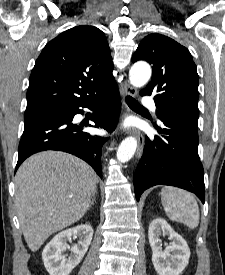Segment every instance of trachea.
I'll return each instance as SVG.
<instances>
[{"label":"trachea","instance_id":"1","mask_svg":"<svg viewBox=\"0 0 225 275\" xmlns=\"http://www.w3.org/2000/svg\"><path fill=\"white\" fill-rule=\"evenodd\" d=\"M126 102L130 108L145 110L134 98L131 96L126 97Z\"/></svg>","mask_w":225,"mask_h":275}]
</instances>
